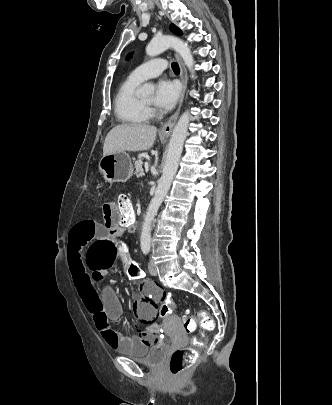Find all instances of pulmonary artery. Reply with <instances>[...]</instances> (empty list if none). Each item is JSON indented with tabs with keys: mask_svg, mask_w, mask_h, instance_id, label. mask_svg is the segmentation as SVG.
Returning a JSON list of instances; mask_svg holds the SVG:
<instances>
[{
	"mask_svg": "<svg viewBox=\"0 0 332 405\" xmlns=\"http://www.w3.org/2000/svg\"><path fill=\"white\" fill-rule=\"evenodd\" d=\"M166 66V61L164 59H153L138 66L130 73L129 77L131 79L143 82L149 78L160 75Z\"/></svg>",
	"mask_w": 332,
	"mask_h": 405,
	"instance_id": "obj_1",
	"label": "pulmonary artery"
}]
</instances>
